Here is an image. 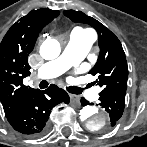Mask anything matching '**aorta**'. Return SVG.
Here are the masks:
<instances>
[{"label": "aorta", "instance_id": "obj_1", "mask_svg": "<svg viewBox=\"0 0 147 147\" xmlns=\"http://www.w3.org/2000/svg\"><path fill=\"white\" fill-rule=\"evenodd\" d=\"M59 42L53 38H47L40 47V55L46 60H52L60 55ZM80 120L93 132L106 129L109 125V116L104 110L94 106H84L79 113Z\"/></svg>", "mask_w": 147, "mask_h": 147}]
</instances>
